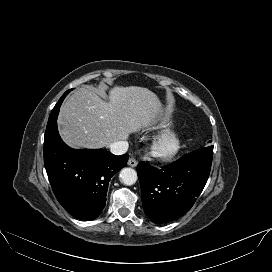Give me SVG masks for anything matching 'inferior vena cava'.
Masks as SVG:
<instances>
[{"mask_svg":"<svg viewBox=\"0 0 272 272\" xmlns=\"http://www.w3.org/2000/svg\"><path fill=\"white\" fill-rule=\"evenodd\" d=\"M129 144L127 141H115L109 145L110 151L115 155H122L127 152Z\"/></svg>","mask_w":272,"mask_h":272,"instance_id":"1","label":"inferior vena cava"}]
</instances>
